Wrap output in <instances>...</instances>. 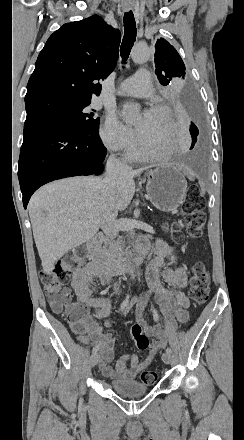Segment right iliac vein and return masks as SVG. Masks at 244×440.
<instances>
[{
	"label": "right iliac vein",
	"instance_id": "right-iliac-vein-1",
	"mask_svg": "<svg viewBox=\"0 0 244 440\" xmlns=\"http://www.w3.org/2000/svg\"><path fill=\"white\" fill-rule=\"evenodd\" d=\"M99 361V354L98 353H94L91 357H90V365L91 367H94Z\"/></svg>",
	"mask_w": 244,
	"mask_h": 440
}]
</instances>
